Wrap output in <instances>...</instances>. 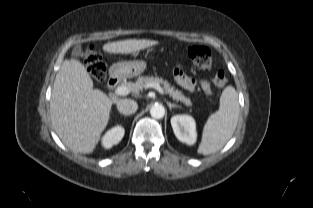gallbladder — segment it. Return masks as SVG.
I'll return each mask as SVG.
<instances>
[{
    "label": "gallbladder",
    "instance_id": "gallbladder-1",
    "mask_svg": "<svg viewBox=\"0 0 313 208\" xmlns=\"http://www.w3.org/2000/svg\"><path fill=\"white\" fill-rule=\"evenodd\" d=\"M82 54V48L80 45H77L74 47L73 51H72V56L73 57H79Z\"/></svg>",
    "mask_w": 313,
    "mask_h": 208
}]
</instances>
